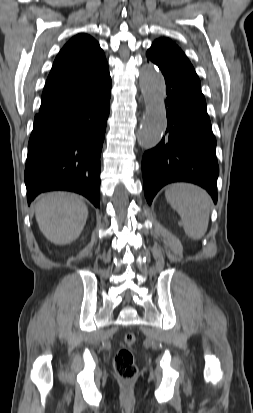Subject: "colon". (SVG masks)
I'll use <instances>...</instances> for the list:
<instances>
[{"instance_id":"5ec220e1","label":"colon","mask_w":253,"mask_h":413,"mask_svg":"<svg viewBox=\"0 0 253 413\" xmlns=\"http://www.w3.org/2000/svg\"><path fill=\"white\" fill-rule=\"evenodd\" d=\"M136 344V336L132 332L124 335L123 346L117 351L114 358V369L117 376L125 382L132 381L137 375L132 348Z\"/></svg>"}]
</instances>
